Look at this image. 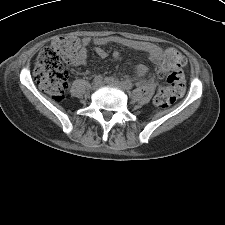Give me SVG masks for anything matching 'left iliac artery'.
<instances>
[{"label":"left iliac artery","instance_id":"left-iliac-artery-1","mask_svg":"<svg viewBox=\"0 0 225 225\" xmlns=\"http://www.w3.org/2000/svg\"><path fill=\"white\" fill-rule=\"evenodd\" d=\"M126 84H127L128 89L132 88V84L131 83H126Z\"/></svg>","mask_w":225,"mask_h":225}]
</instances>
